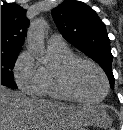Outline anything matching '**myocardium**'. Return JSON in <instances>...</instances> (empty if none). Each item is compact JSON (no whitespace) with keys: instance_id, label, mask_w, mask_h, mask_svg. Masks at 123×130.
Here are the masks:
<instances>
[{"instance_id":"myocardium-1","label":"myocardium","mask_w":123,"mask_h":130,"mask_svg":"<svg viewBox=\"0 0 123 130\" xmlns=\"http://www.w3.org/2000/svg\"><path fill=\"white\" fill-rule=\"evenodd\" d=\"M81 64H86L95 68L101 75L105 84V90L103 95L99 99H86L80 96L74 89L72 85L71 76L74 69ZM55 74L60 89L73 101L86 104H97L104 100L110 89L109 81L104 70L97 63L83 57L73 56L65 61L58 63L55 67Z\"/></svg>"}]
</instances>
